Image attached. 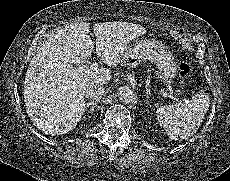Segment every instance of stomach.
Wrapping results in <instances>:
<instances>
[{"label": "stomach", "instance_id": "obj_1", "mask_svg": "<svg viewBox=\"0 0 230 181\" xmlns=\"http://www.w3.org/2000/svg\"><path fill=\"white\" fill-rule=\"evenodd\" d=\"M157 42L150 39L135 41L132 47H127L122 55L121 62L124 64L137 65L142 58L153 54L157 58L159 76L164 81L173 77L176 72V63L168 52L161 49Z\"/></svg>", "mask_w": 230, "mask_h": 181}]
</instances>
